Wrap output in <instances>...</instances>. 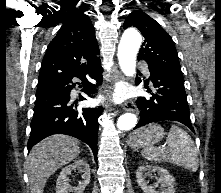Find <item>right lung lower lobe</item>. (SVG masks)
<instances>
[{"instance_id": "1", "label": "right lung lower lobe", "mask_w": 221, "mask_h": 193, "mask_svg": "<svg viewBox=\"0 0 221 193\" xmlns=\"http://www.w3.org/2000/svg\"><path fill=\"white\" fill-rule=\"evenodd\" d=\"M101 72L102 67L99 62L91 69V77L99 80ZM78 78L86 80L85 76ZM74 86L70 79L37 90L31 133L27 144L28 151L42 139L62 133L86 142L96 159L98 118L103 109L101 107L73 109V105H70V91ZM94 87L95 85L87 82L83 91L90 96L95 92ZM82 100L85 98L81 97L80 101Z\"/></svg>"}]
</instances>
